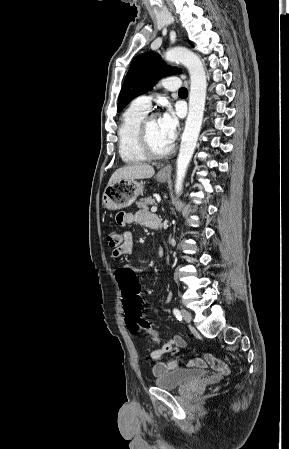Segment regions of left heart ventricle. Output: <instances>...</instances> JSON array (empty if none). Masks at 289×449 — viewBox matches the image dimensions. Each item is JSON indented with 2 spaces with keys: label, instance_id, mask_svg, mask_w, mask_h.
I'll return each mask as SVG.
<instances>
[{
  "label": "left heart ventricle",
  "instance_id": "1",
  "mask_svg": "<svg viewBox=\"0 0 289 449\" xmlns=\"http://www.w3.org/2000/svg\"><path fill=\"white\" fill-rule=\"evenodd\" d=\"M149 142L152 149L157 153L165 152L172 142L162 130L159 119H153L148 126Z\"/></svg>",
  "mask_w": 289,
  "mask_h": 449
}]
</instances>
